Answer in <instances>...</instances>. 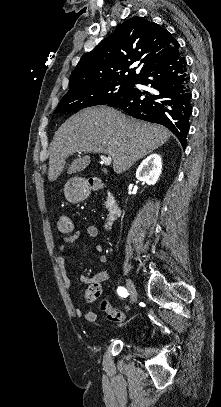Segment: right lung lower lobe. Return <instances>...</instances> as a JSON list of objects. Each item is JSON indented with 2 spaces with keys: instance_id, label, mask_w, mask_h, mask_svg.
Here are the masks:
<instances>
[{
  "instance_id": "right-lung-lower-lobe-1",
  "label": "right lung lower lobe",
  "mask_w": 221,
  "mask_h": 407,
  "mask_svg": "<svg viewBox=\"0 0 221 407\" xmlns=\"http://www.w3.org/2000/svg\"><path fill=\"white\" fill-rule=\"evenodd\" d=\"M134 84L148 86L150 91L133 86L129 93L107 105L134 118L164 125L185 148L192 107L187 63L180 45L167 58L148 68Z\"/></svg>"
}]
</instances>
